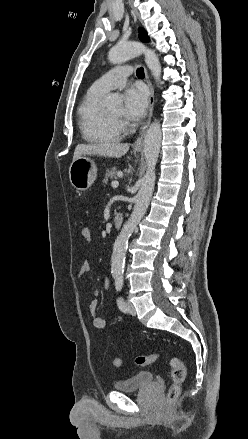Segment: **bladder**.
<instances>
[{
	"label": "bladder",
	"instance_id": "1",
	"mask_svg": "<svg viewBox=\"0 0 248 439\" xmlns=\"http://www.w3.org/2000/svg\"><path fill=\"white\" fill-rule=\"evenodd\" d=\"M154 382V375L150 371H140L133 376L113 383V388L119 392H134L142 390Z\"/></svg>",
	"mask_w": 248,
	"mask_h": 439
}]
</instances>
